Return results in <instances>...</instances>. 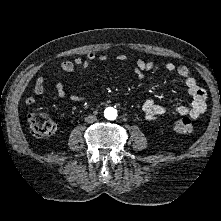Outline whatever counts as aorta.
<instances>
[{
	"label": "aorta",
	"mask_w": 221,
	"mask_h": 221,
	"mask_svg": "<svg viewBox=\"0 0 221 221\" xmlns=\"http://www.w3.org/2000/svg\"><path fill=\"white\" fill-rule=\"evenodd\" d=\"M104 116L108 120H114L117 117V110L113 107H108L104 111Z\"/></svg>",
	"instance_id": "obj_1"
}]
</instances>
